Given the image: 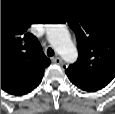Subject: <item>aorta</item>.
<instances>
[{
  "mask_svg": "<svg viewBox=\"0 0 115 114\" xmlns=\"http://www.w3.org/2000/svg\"><path fill=\"white\" fill-rule=\"evenodd\" d=\"M48 37L51 44L66 62L73 63L77 60V48L71 40L68 30L64 26L54 25L51 27L48 30Z\"/></svg>",
  "mask_w": 115,
  "mask_h": 114,
  "instance_id": "obj_1",
  "label": "aorta"
}]
</instances>
